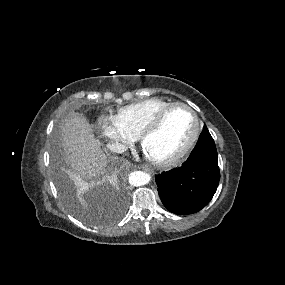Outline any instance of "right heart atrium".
<instances>
[{
  "label": "right heart atrium",
  "instance_id": "1",
  "mask_svg": "<svg viewBox=\"0 0 285 285\" xmlns=\"http://www.w3.org/2000/svg\"><path fill=\"white\" fill-rule=\"evenodd\" d=\"M102 136L113 143L118 150H124L136 139L137 134L129 130L117 115L102 116L98 120Z\"/></svg>",
  "mask_w": 285,
  "mask_h": 285
}]
</instances>
